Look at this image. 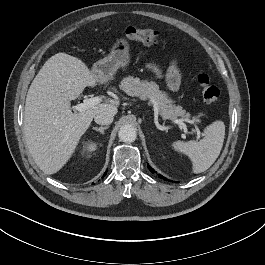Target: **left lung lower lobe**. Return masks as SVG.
Masks as SVG:
<instances>
[{
	"instance_id": "left-lung-lower-lobe-1",
	"label": "left lung lower lobe",
	"mask_w": 265,
	"mask_h": 265,
	"mask_svg": "<svg viewBox=\"0 0 265 265\" xmlns=\"http://www.w3.org/2000/svg\"><path fill=\"white\" fill-rule=\"evenodd\" d=\"M147 167L151 170L152 173H154V170L149 165ZM159 177L165 180V178L161 176L160 174H159Z\"/></svg>"
}]
</instances>
